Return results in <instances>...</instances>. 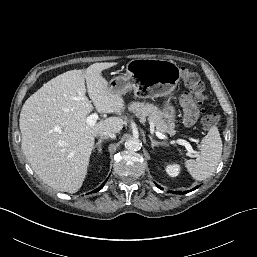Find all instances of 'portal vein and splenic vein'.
Masks as SVG:
<instances>
[{"instance_id":"portal-vein-and-splenic-vein-1","label":"portal vein and splenic vein","mask_w":257,"mask_h":257,"mask_svg":"<svg viewBox=\"0 0 257 257\" xmlns=\"http://www.w3.org/2000/svg\"><path fill=\"white\" fill-rule=\"evenodd\" d=\"M98 118H99V117H98V114H97V113H92L91 115H89V116L86 118V122H87V124H89V125L92 126V125H94V124L96 123V121L98 120ZM155 133H156V136H157L158 138H160V139H167V138H168L166 135L162 134V133L159 132V131H156ZM176 143L181 144V145H184L188 151L192 152V147H191V145H190L187 141H185V140H183V139H178V140H176Z\"/></svg>"}]
</instances>
